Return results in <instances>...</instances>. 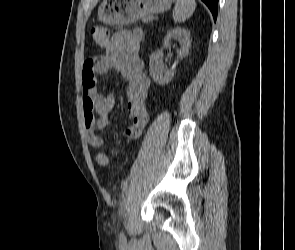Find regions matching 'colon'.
<instances>
[{"label":"colon","instance_id":"5ec220e1","mask_svg":"<svg viewBox=\"0 0 295 250\" xmlns=\"http://www.w3.org/2000/svg\"><path fill=\"white\" fill-rule=\"evenodd\" d=\"M90 37L98 46L104 47L109 42L110 34L105 27L96 26L90 30ZM97 161L100 165L105 166L108 163V158L104 154H99L97 156Z\"/></svg>","mask_w":295,"mask_h":250}]
</instances>
